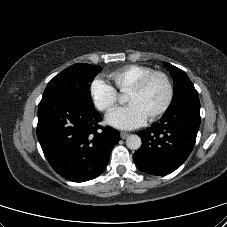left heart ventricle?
Returning <instances> with one entry per match:
<instances>
[{"label":"left heart ventricle","mask_w":227,"mask_h":227,"mask_svg":"<svg viewBox=\"0 0 227 227\" xmlns=\"http://www.w3.org/2000/svg\"><path fill=\"white\" fill-rule=\"evenodd\" d=\"M166 97L167 87L165 81L161 77H154L141 91H129L127 101L137 104L149 117L164 104Z\"/></svg>","instance_id":"left-heart-ventricle-1"}]
</instances>
